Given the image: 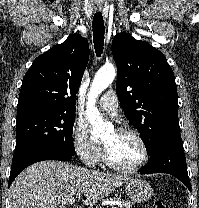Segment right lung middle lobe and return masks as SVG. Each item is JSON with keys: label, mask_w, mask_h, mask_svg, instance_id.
Listing matches in <instances>:
<instances>
[{"label": "right lung middle lobe", "mask_w": 199, "mask_h": 208, "mask_svg": "<svg viewBox=\"0 0 199 208\" xmlns=\"http://www.w3.org/2000/svg\"><path fill=\"white\" fill-rule=\"evenodd\" d=\"M75 113L26 109L17 111L16 147L13 160L33 149L57 148L75 155L72 140Z\"/></svg>", "instance_id": "dd1d6c3e"}]
</instances>
